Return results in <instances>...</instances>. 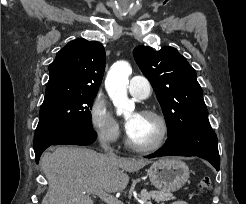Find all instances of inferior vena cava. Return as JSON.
Returning <instances> with one entry per match:
<instances>
[{"instance_id": "inferior-vena-cava-1", "label": "inferior vena cava", "mask_w": 246, "mask_h": 204, "mask_svg": "<svg viewBox=\"0 0 246 204\" xmlns=\"http://www.w3.org/2000/svg\"><path fill=\"white\" fill-rule=\"evenodd\" d=\"M101 144H102V148L106 152V155L108 156V158L115 159L116 155L114 154V152L111 149V147L109 146V144L106 141H103Z\"/></svg>"}]
</instances>
